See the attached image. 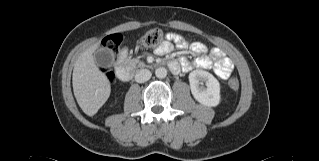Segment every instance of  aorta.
<instances>
[{
  "label": "aorta",
  "instance_id": "1",
  "mask_svg": "<svg viewBox=\"0 0 319 161\" xmlns=\"http://www.w3.org/2000/svg\"><path fill=\"white\" fill-rule=\"evenodd\" d=\"M155 75L159 79H163L167 76V70L164 67H159L155 70Z\"/></svg>",
  "mask_w": 319,
  "mask_h": 161
}]
</instances>
